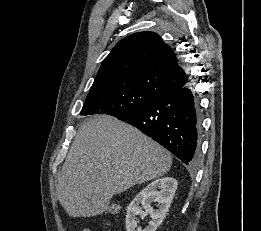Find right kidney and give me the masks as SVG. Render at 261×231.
Listing matches in <instances>:
<instances>
[{"mask_svg":"<svg viewBox=\"0 0 261 231\" xmlns=\"http://www.w3.org/2000/svg\"><path fill=\"white\" fill-rule=\"evenodd\" d=\"M177 185L178 182L176 179L172 177H164L153 181L139 192L127 208L126 230L156 231L169 210ZM158 189H160V191H158ZM153 201L158 203L157 210H154L151 207ZM140 204H142L143 208L146 210L145 212L140 208ZM147 214L151 217L149 225L145 229L139 227L136 230V216L140 215L144 218Z\"/></svg>","mask_w":261,"mask_h":231,"instance_id":"right-kidney-1","label":"right kidney"}]
</instances>
